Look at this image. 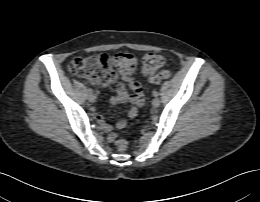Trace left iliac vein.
<instances>
[{
    "label": "left iliac vein",
    "mask_w": 260,
    "mask_h": 202,
    "mask_svg": "<svg viewBox=\"0 0 260 202\" xmlns=\"http://www.w3.org/2000/svg\"><path fill=\"white\" fill-rule=\"evenodd\" d=\"M159 105H160V100H159V98L155 97V98L152 100V106H153L154 108H157V107H159Z\"/></svg>",
    "instance_id": "1"
}]
</instances>
